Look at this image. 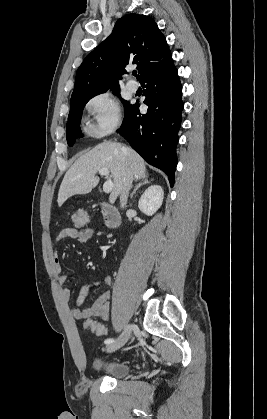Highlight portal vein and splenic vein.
<instances>
[{
	"mask_svg": "<svg viewBox=\"0 0 267 419\" xmlns=\"http://www.w3.org/2000/svg\"><path fill=\"white\" fill-rule=\"evenodd\" d=\"M99 173L102 176L109 177V170H108V168H101L99 170ZM113 186H114L113 181L111 180V178H108L106 180V182L104 183V185H103V191L105 193H110L112 191V189H113Z\"/></svg>",
	"mask_w": 267,
	"mask_h": 419,
	"instance_id": "portal-vein-and-splenic-vein-1",
	"label": "portal vein and splenic vein"
}]
</instances>
